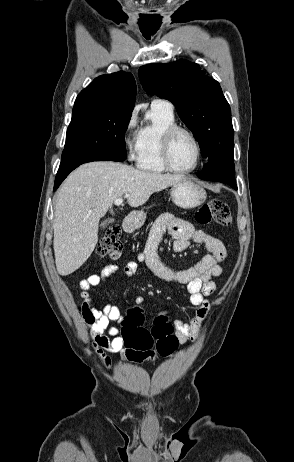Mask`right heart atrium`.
Masks as SVG:
<instances>
[{"mask_svg":"<svg viewBox=\"0 0 294 462\" xmlns=\"http://www.w3.org/2000/svg\"><path fill=\"white\" fill-rule=\"evenodd\" d=\"M136 116L134 113L128 118L124 128V139L123 143L128 152V158L132 160L136 154L137 139L132 136V130L135 126Z\"/></svg>","mask_w":294,"mask_h":462,"instance_id":"right-heart-atrium-1","label":"right heart atrium"}]
</instances>
